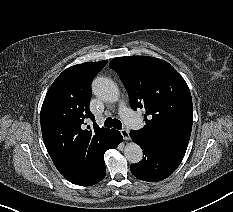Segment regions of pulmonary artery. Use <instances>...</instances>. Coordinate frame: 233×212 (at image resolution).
Segmentation results:
<instances>
[{
    "label": "pulmonary artery",
    "mask_w": 233,
    "mask_h": 212,
    "mask_svg": "<svg viewBox=\"0 0 233 212\" xmlns=\"http://www.w3.org/2000/svg\"><path fill=\"white\" fill-rule=\"evenodd\" d=\"M120 114L127 125L131 127H137L139 120L134 116V114L125 106L122 105L120 108Z\"/></svg>",
    "instance_id": "1"
}]
</instances>
